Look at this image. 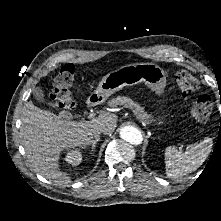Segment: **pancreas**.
<instances>
[{
	"mask_svg": "<svg viewBox=\"0 0 221 221\" xmlns=\"http://www.w3.org/2000/svg\"><path fill=\"white\" fill-rule=\"evenodd\" d=\"M109 105L112 107L122 105L125 108H130L133 110V113L138 120L143 121L146 124H150L153 122V116L146 113L143 107H141L138 103H135L132 99L128 97L117 96L116 98H113L109 101Z\"/></svg>",
	"mask_w": 221,
	"mask_h": 221,
	"instance_id": "1",
	"label": "pancreas"
}]
</instances>
